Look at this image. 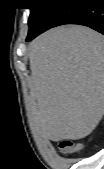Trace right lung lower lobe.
I'll return each instance as SVG.
<instances>
[{"label": "right lung lower lobe", "mask_w": 104, "mask_h": 169, "mask_svg": "<svg viewBox=\"0 0 104 169\" xmlns=\"http://www.w3.org/2000/svg\"><path fill=\"white\" fill-rule=\"evenodd\" d=\"M56 9L44 23L29 32L27 41L59 25L80 24L104 34V0H56Z\"/></svg>", "instance_id": "right-lung-lower-lobe-1"}]
</instances>
